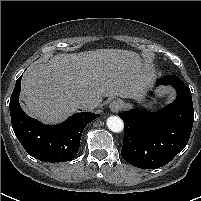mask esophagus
<instances>
[{"label": "esophagus", "instance_id": "esophagus-1", "mask_svg": "<svg viewBox=\"0 0 201 201\" xmlns=\"http://www.w3.org/2000/svg\"><path fill=\"white\" fill-rule=\"evenodd\" d=\"M109 107L113 113H117L123 107V102L120 99H115L110 103Z\"/></svg>", "mask_w": 201, "mask_h": 201}]
</instances>
